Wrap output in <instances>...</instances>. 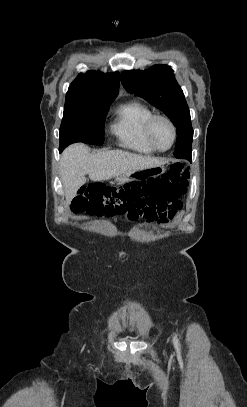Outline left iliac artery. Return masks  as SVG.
I'll return each instance as SVG.
<instances>
[{
  "mask_svg": "<svg viewBox=\"0 0 247 407\" xmlns=\"http://www.w3.org/2000/svg\"><path fill=\"white\" fill-rule=\"evenodd\" d=\"M173 343H174V346L177 349V351H179L180 350V344L178 342L177 336H174Z\"/></svg>",
  "mask_w": 247,
  "mask_h": 407,
  "instance_id": "left-iliac-artery-1",
  "label": "left iliac artery"
}]
</instances>
